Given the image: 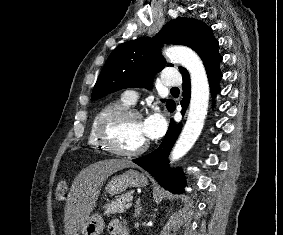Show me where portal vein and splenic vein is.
<instances>
[{"label":"portal vein and splenic vein","instance_id":"18ae733b","mask_svg":"<svg viewBox=\"0 0 283 235\" xmlns=\"http://www.w3.org/2000/svg\"><path fill=\"white\" fill-rule=\"evenodd\" d=\"M131 206H132V203L129 202V203L126 205V209H129Z\"/></svg>","mask_w":283,"mask_h":235}]
</instances>
